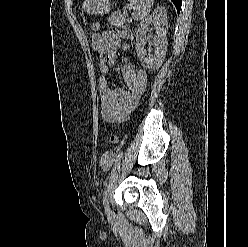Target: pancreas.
I'll use <instances>...</instances> for the list:
<instances>
[{"mask_svg":"<svg viewBox=\"0 0 248 247\" xmlns=\"http://www.w3.org/2000/svg\"><path fill=\"white\" fill-rule=\"evenodd\" d=\"M129 19H127L124 15H119L118 17H114L110 20L112 25H116L117 27L125 28L127 23H129Z\"/></svg>","mask_w":248,"mask_h":247,"instance_id":"pancreas-1","label":"pancreas"}]
</instances>
